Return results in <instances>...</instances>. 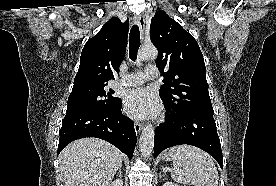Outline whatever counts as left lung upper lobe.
<instances>
[{"label": "left lung upper lobe", "instance_id": "obj_1", "mask_svg": "<svg viewBox=\"0 0 276 186\" xmlns=\"http://www.w3.org/2000/svg\"><path fill=\"white\" fill-rule=\"evenodd\" d=\"M151 40L158 49L156 66L165 77L159 95L175 113L213 109L204 58L195 38L163 10L151 19Z\"/></svg>", "mask_w": 276, "mask_h": 186}]
</instances>
